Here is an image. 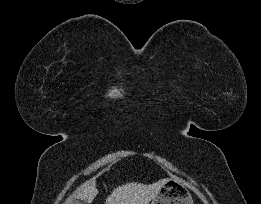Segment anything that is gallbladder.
<instances>
[{
    "mask_svg": "<svg viewBox=\"0 0 261 204\" xmlns=\"http://www.w3.org/2000/svg\"><path fill=\"white\" fill-rule=\"evenodd\" d=\"M71 204H83V203L79 200H74Z\"/></svg>",
    "mask_w": 261,
    "mask_h": 204,
    "instance_id": "gallbladder-1",
    "label": "gallbladder"
}]
</instances>
